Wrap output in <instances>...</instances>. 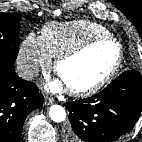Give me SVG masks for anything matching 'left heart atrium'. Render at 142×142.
Masks as SVG:
<instances>
[{
  "label": "left heart atrium",
  "instance_id": "39dd6f15",
  "mask_svg": "<svg viewBox=\"0 0 142 142\" xmlns=\"http://www.w3.org/2000/svg\"><path fill=\"white\" fill-rule=\"evenodd\" d=\"M66 88L65 83L61 80V78L55 79L50 83V90L54 92L62 91Z\"/></svg>",
  "mask_w": 142,
  "mask_h": 142
}]
</instances>
